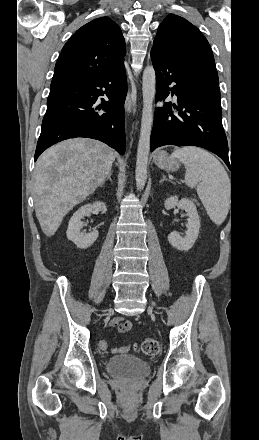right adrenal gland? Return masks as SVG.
<instances>
[{
	"label": "right adrenal gland",
	"mask_w": 259,
	"mask_h": 440,
	"mask_svg": "<svg viewBox=\"0 0 259 440\" xmlns=\"http://www.w3.org/2000/svg\"><path fill=\"white\" fill-rule=\"evenodd\" d=\"M111 176H112V171H110V173L108 174V176L106 177V179L103 181V184H104L105 181H107V180H109V181L112 182Z\"/></svg>",
	"instance_id": "2a0ac1e0"
}]
</instances>
